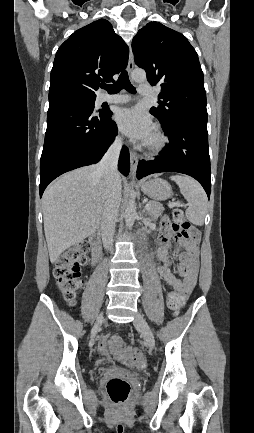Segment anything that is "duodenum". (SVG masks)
<instances>
[{
    "label": "duodenum",
    "mask_w": 254,
    "mask_h": 433,
    "mask_svg": "<svg viewBox=\"0 0 254 433\" xmlns=\"http://www.w3.org/2000/svg\"><path fill=\"white\" fill-rule=\"evenodd\" d=\"M89 242L92 247L94 261L97 262L100 257V232H93L89 237Z\"/></svg>",
    "instance_id": "obj_1"
}]
</instances>
